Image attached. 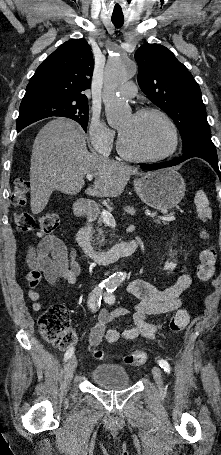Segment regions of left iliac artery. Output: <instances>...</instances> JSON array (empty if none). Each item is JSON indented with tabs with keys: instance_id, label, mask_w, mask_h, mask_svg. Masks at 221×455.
Masks as SVG:
<instances>
[{
	"instance_id": "1",
	"label": "left iliac artery",
	"mask_w": 221,
	"mask_h": 455,
	"mask_svg": "<svg viewBox=\"0 0 221 455\" xmlns=\"http://www.w3.org/2000/svg\"><path fill=\"white\" fill-rule=\"evenodd\" d=\"M115 289H116V287H114L112 285L107 288V291L104 294L105 302H107L109 304L115 302V296L113 294ZM158 364L162 369H164L165 372L170 373V365L168 364V362L166 360L159 359Z\"/></svg>"
}]
</instances>
